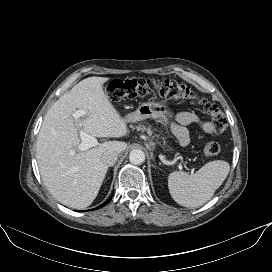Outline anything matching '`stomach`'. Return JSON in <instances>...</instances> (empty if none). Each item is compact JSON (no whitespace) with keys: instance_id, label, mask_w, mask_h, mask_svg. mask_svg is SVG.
I'll return each mask as SVG.
<instances>
[{"instance_id":"obj_1","label":"stomach","mask_w":272,"mask_h":272,"mask_svg":"<svg viewBox=\"0 0 272 272\" xmlns=\"http://www.w3.org/2000/svg\"><path fill=\"white\" fill-rule=\"evenodd\" d=\"M170 115L171 112L166 105L146 102L140 104L136 111L127 114L123 120L128 123L153 118L160 121L161 123L166 124L168 122V116Z\"/></svg>"}]
</instances>
